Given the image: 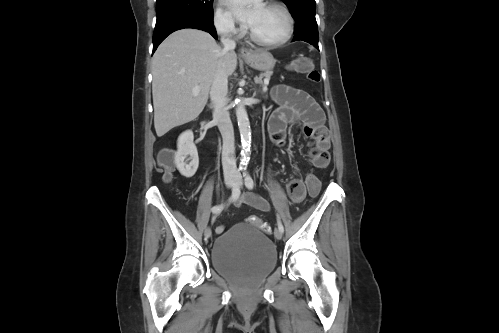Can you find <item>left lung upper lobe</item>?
<instances>
[{
  "mask_svg": "<svg viewBox=\"0 0 499 333\" xmlns=\"http://www.w3.org/2000/svg\"><path fill=\"white\" fill-rule=\"evenodd\" d=\"M290 9L293 18L315 16V0H283Z\"/></svg>",
  "mask_w": 499,
  "mask_h": 333,
  "instance_id": "obj_1",
  "label": "left lung upper lobe"
}]
</instances>
